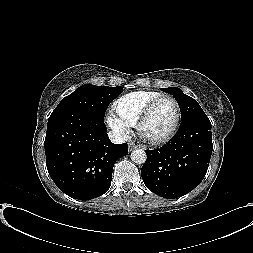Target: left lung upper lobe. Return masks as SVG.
<instances>
[{
  "label": "left lung upper lobe",
  "instance_id": "1",
  "mask_svg": "<svg viewBox=\"0 0 253 253\" xmlns=\"http://www.w3.org/2000/svg\"><path fill=\"white\" fill-rule=\"evenodd\" d=\"M161 90L175 97L180 107L182 121L191 117L206 115L198 102L184 94L179 88L169 87L161 88Z\"/></svg>",
  "mask_w": 253,
  "mask_h": 253
}]
</instances>
